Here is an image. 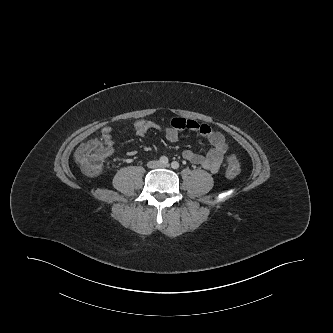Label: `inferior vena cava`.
Wrapping results in <instances>:
<instances>
[{
    "instance_id": "602c4592",
    "label": "inferior vena cava",
    "mask_w": 333,
    "mask_h": 333,
    "mask_svg": "<svg viewBox=\"0 0 333 333\" xmlns=\"http://www.w3.org/2000/svg\"><path fill=\"white\" fill-rule=\"evenodd\" d=\"M151 164H152V162H149V163H148V166H149V167H152Z\"/></svg>"
}]
</instances>
